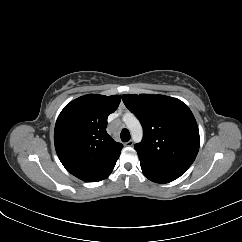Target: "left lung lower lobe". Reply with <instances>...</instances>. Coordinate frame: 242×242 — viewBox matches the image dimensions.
<instances>
[{
    "instance_id": "obj_1",
    "label": "left lung lower lobe",
    "mask_w": 242,
    "mask_h": 242,
    "mask_svg": "<svg viewBox=\"0 0 242 242\" xmlns=\"http://www.w3.org/2000/svg\"><path fill=\"white\" fill-rule=\"evenodd\" d=\"M141 169H142L144 175L149 180L156 182V183H168L181 176V175L175 174V173L151 170V169L144 167L142 164H141Z\"/></svg>"
}]
</instances>
